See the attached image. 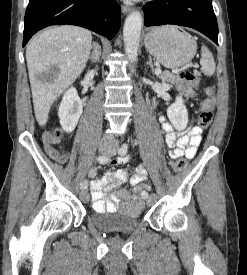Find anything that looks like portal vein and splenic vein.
Listing matches in <instances>:
<instances>
[{
	"instance_id": "portal-vein-and-splenic-vein-1",
	"label": "portal vein and splenic vein",
	"mask_w": 247,
	"mask_h": 275,
	"mask_svg": "<svg viewBox=\"0 0 247 275\" xmlns=\"http://www.w3.org/2000/svg\"><path fill=\"white\" fill-rule=\"evenodd\" d=\"M161 72H162L161 69H156V70H155V74H156V75H160Z\"/></svg>"
}]
</instances>
